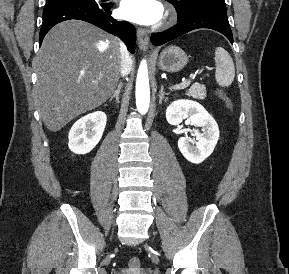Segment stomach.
Listing matches in <instances>:
<instances>
[{
	"label": "stomach",
	"instance_id": "1",
	"mask_svg": "<svg viewBox=\"0 0 289 274\" xmlns=\"http://www.w3.org/2000/svg\"><path fill=\"white\" fill-rule=\"evenodd\" d=\"M188 63V56L177 46L166 47L159 56L158 66L161 70L175 73L182 70Z\"/></svg>",
	"mask_w": 289,
	"mask_h": 274
}]
</instances>
